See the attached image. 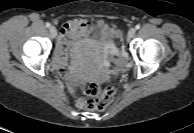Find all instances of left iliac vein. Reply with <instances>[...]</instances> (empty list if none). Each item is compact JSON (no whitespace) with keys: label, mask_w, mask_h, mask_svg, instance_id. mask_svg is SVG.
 I'll return each mask as SVG.
<instances>
[{"label":"left iliac vein","mask_w":194,"mask_h":133,"mask_svg":"<svg viewBox=\"0 0 194 133\" xmlns=\"http://www.w3.org/2000/svg\"><path fill=\"white\" fill-rule=\"evenodd\" d=\"M135 33H136V30H135L134 28H131V29L128 31V34H127L128 39L133 38L134 35H135Z\"/></svg>","instance_id":"left-iliac-vein-1"}]
</instances>
